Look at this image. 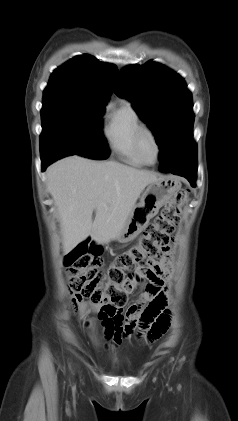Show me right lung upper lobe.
Masks as SVG:
<instances>
[{
  "mask_svg": "<svg viewBox=\"0 0 238 421\" xmlns=\"http://www.w3.org/2000/svg\"><path fill=\"white\" fill-rule=\"evenodd\" d=\"M118 69L85 54L74 57L52 73L44 92L81 95L108 101Z\"/></svg>",
  "mask_w": 238,
  "mask_h": 421,
  "instance_id": "obj_1",
  "label": "right lung upper lobe"
}]
</instances>
